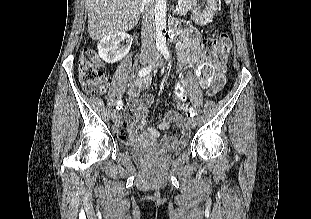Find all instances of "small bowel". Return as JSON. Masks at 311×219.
<instances>
[{"mask_svg": "<svg viewBox=\"0 0 311 219\" xmlns=\"http://www.w3.org/2000/svg\"><path fill=\"white\" fill-rule=\"evenodd\" d=\"M185 11V9H182ZM179 59L184 64L193 65L197 63L200 57L199 52V37L193 35L192 31L184 30L181 32L179 40ZM151 84L150 76H140L130 86L128 90V110L123 114L119 126L121 128V136L126 137V140L138 133L144 139L155 140L163 131H167L172 127H178L182 130V134L178 138H170L171 141L183 143L188 138L186 125L183 122V116L178 111H169L157 118L155 126L147 123L148 109L154 104V96L151 94L140 95L142 90L147 89ZM224 78L220 75H215L209 87L207 94L209 96L216 95L223 87ZM176 94L179 98L185 96V90L181 85L176 86ZM124 127H127L124 129Z\"/></svg>", "mask_w": 311, "mask_h": 219, "instance_id": "c3829d8e", "label": "small bowel"}]
</instances>
